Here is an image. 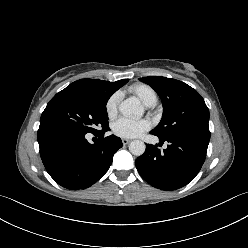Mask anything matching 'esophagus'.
Returning <instances> with one entry per match:
<instances>
[{"label":"esophagus","mask_w":248,"mask_h":248,"mask_svg":"<svg viewBox=\"0 0 248 248\" xmlns=\"http://www.w3.org/2000/svg\"><path fill=\"white\" fill-rule=\"evenodd\" d=\"M130 141H131V140H130V139H127V138H123V139H122V143H123L124 145H127Z\"/></svg>","instance_id":"34e87169"}]
</instances>
